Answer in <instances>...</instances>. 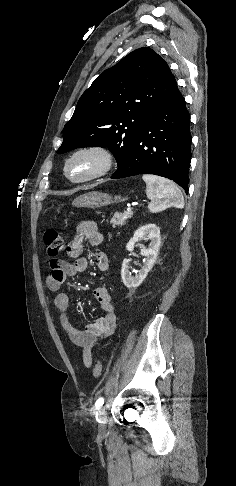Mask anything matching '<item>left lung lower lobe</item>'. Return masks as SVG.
I'll list each match as a JSON object with an SVG mask.
<instances>
[{
	"label": "left lung lower lobe",
	"instance_id": "obj_1",
	"mask_svg": "<svg viewBox=\"0 0 236 486\" xmlns=\"http://www.w3.org/2000/svg\"><path fill=\"white\" fill-rule=\"evenodd\" d=\"M191 139L190 115L176 86L136 136L111 178L154 174L173 180L187 193Z\"/></svg>",
	"mask_w": 236,
	"mask_h": 486
}]
</instances>
